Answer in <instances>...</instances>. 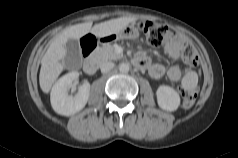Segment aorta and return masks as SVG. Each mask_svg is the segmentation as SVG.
Returning <instances> with one entry per match:
<instances>
[{
  "instance_id": "1",
  "label": "aorta",
  "mask_w": 238,
  "mask_h": 158,
  "mask_svg": "<svg viewBox=\"0 0 238 158\" xmlns=\"http://www.w3.org/2000/svg\"><path fill=\"white\" fill-rule=\"evenodd\" d=\"M119 70L122 73H127L130 70V64L129 63H120Z\"/></svg>"
}]
</instances>
